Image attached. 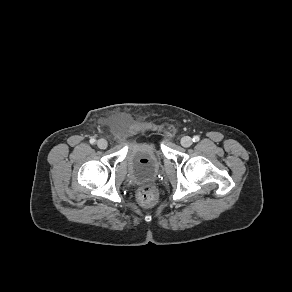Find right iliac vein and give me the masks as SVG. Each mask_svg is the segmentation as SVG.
Returning <instances> with one entry per match:
<instances>
[{
    "label": "right iliac vein",
    "mask_w": 292,
    "mask_h": 292,
    "mask_svg": "<svg viewBox=\"0 0 292 292\" xmlns=\"http://www.w3.org/2000/svg\"><path fill=\"white\" fill-rule=\"evenodd\" d=\"M97 146L100 148V149H106L107 146H108V142L105 140V139H99L97 141Z\"/></svg>",
    "instance_id": "right-iliac-vein-1"
}]
</instances>
